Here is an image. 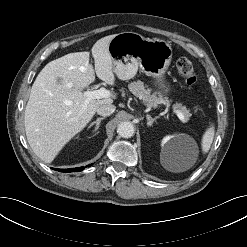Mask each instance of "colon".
I'll list each match as a JSON object with an SVG mask.
<instances>
[{
  "label": "colon",
  "instance_id": "1",
  "mask_svg": "<svg viewBox=\"0 0 247 247\" xmlns=\"http://www.w3.org/2000/svg\"><path fill=\"white\" fill-rule=\"evenodd\" d=\"M177 70L180 76L183 78L186 85L189 87L195 86L197 82V76L194 72L191 62L186 58H180L177 63Z\"/></svg>",
  "mask_w": 247,
  "mask_h": 247
}]
</instances>
